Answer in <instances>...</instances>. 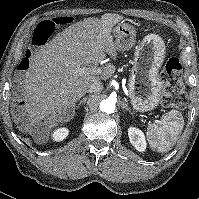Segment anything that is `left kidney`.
<instances>
[{
    "label": "left kidney",
    "mask_w": 199,
    "mask_h": 199,
    "mask_svg": "<svg viewBox=\"0 0 199 199\" xmlns=\"http://www.w3.org/2000/svg\"><path fill=\"white\" fill-rule=\"evenodd\" d=\"M128 136L130 139L131 144L140 152H144L147 147L146 139L144 133L136 128L130 127L128 129Z\"/></svg>",
    "instance_id": "obj_1"
}]
</instances>
